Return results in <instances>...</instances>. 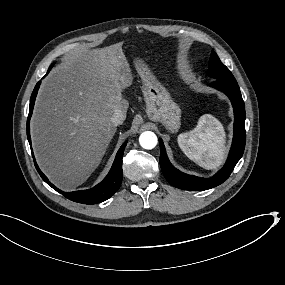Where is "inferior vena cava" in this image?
I'll use <instances>...</instances> for the list:
<instances>
[{
	"mask_svg": "<svg viewBox=\"0 0 285 285\" xmlns=\"http://www.w3.org/2000/svg\"><path fill=\"white\" fill-rule=\"evenodd\" d=\"M125 118L126 115L121 110H116L111 118V121L115 126H117L121 125Z\"/></svg>",
	"mask_w": 285,
	"mask_h": 285,
	"instance_id": "obj_1",
	"label": "inferior vena cava"
}]
</instances>
